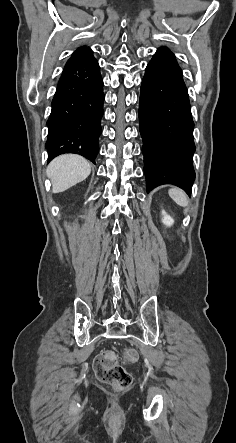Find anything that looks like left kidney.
Wrapping results in <instances>:
<instances>
[{"mask_svg": "<svg viewBox=\"0 0 236 443\" xmlns=\"http://www.w3.org/2000/svg\"><path fill=\"white\" fill-rule=\"evenodd\" d=\"M162 215H163V218H162L163 224H165L168 227L172 226L174 223L173 218H171L169 215H167L164 210H162Z\"/></svg>", "mask_w": 236, "mask_h": 443, "instance_id": "obj_1", "label": "left kidney"}]
</instances>
